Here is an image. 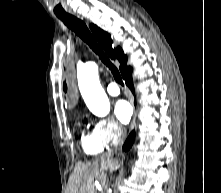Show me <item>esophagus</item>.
<instances>
[{
  "label": "esophagus",
  "instance_id": "obj_1",
  "mask_svg": "<svg viewBox=\"0 0 221 193\" xmlns=\"http://www.w3.org/2000/svg\"><path fill=\"white\" fill-rule=\"evenodd\" d=\"M135 119H136V111L134 112L133 120H132L131 126H134ZM131 130H132V129H131Z\"/></svg>",
  "mask_w": 221,
  "mask_h": 193
}]
</instances>
